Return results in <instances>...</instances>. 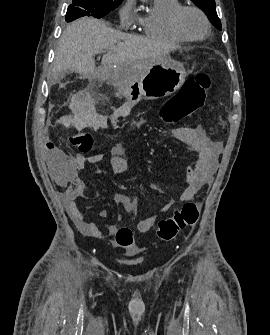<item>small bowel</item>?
<instances>
[{"mask_svg": "<svg viewBox=\"0 0 270 335\" xmlns=\"http://www.w3.org/2000/svg\"><path fill=\"white\" fill-rule=\"evenodd\" d=\"M189 135L192 139L191 146L198 152L199 159L193 167H189L186 171L185 179L187 188L180 197V200L183 202L192 200L203 186L212 182L216 170V158L221 148V143L210 139L201 127L189 131ZM45 150V165H51V178H70L72 183L64 192L66 209L69 216L85 236H101L102 232L98 226L93 222L86 221L84 214L79 208L77 201L84 196L86 186L84 182L77 177L76 170H82L88 164L101 162L103 155L101 153L88 156L79 155L73 162H69L68 158H63V156L67 154L66 149H58L57 144H46ZM110 164L115 174H123L128 170V162L123 156L121 147L116 146L111 150ZM150 188L157 193L161 191L160 187L155 183L150 184ZM113 201L124 213L128 215L132 214V203L127 195L115 193L113 195ZM173 204L174 201H169L163 208V211L169 210ZM107 214L106 210L99 212L100 217H106ZM121 218L122 216L119 215V219ZM156 219V215L145 218L139 222L137 230L140 233L148 232L155 224ZM115 231L116 226L110 225L109 235H112Z\"/></svg>", "mask_w": 270, "mask_h": 335, "instance_id": "obj_1", "label": "small bowel"}]
</instances>
